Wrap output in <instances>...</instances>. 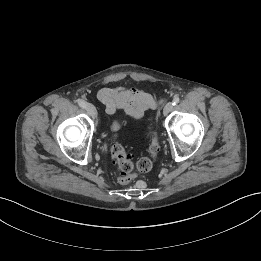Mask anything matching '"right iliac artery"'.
Here are the masks:
<instances>
[{"label": "right iliac artery", "mask_w": 261, "mask_h": 261, "mask_svg": "<svg viewBox=\"0 0 261 261\" xmlns=\"http://www.w3.org/2000/svg\"><path fill=\"white\" fill-rule=\"evenodd\" d=\"M77 103H78V105H79L80 107H82V108H85V106H86L85 101H83V100H81V99H79V100L77 101Z\"/></svg>", "instance_id": "82829eb1"}]
</instances>
